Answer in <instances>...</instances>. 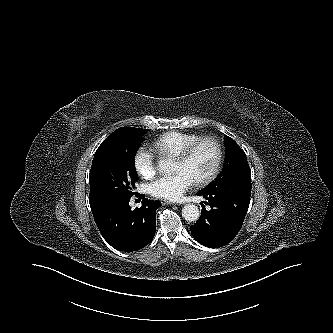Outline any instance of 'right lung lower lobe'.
Wrapping results in <instances>:
<instances>
[{
	"instance_id": "obj_1",
	"label": "right lung lower lobe",
	"mask_w": 333,
	"mask_h": 333,
	"mask_svg": "<svg viewBox=\"0 0 333 333\" xmlns=\"http://www.w3.org/2000/svg\"><path fill=\"white\" fill-rule=\"evenodd\" d=\"M131 197L116 199L92 210L104 239L124 252L139 250L150 243L156 230V210L161 206L160 201L144 199L140 208L132 210Z\"/></svg>"
}]
</instances>
